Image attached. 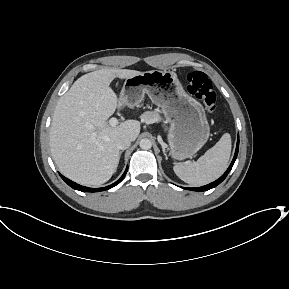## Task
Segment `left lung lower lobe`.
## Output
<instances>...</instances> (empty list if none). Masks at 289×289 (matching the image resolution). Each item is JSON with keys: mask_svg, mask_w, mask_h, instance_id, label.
<instances>
[{"mask_svg": "<svg viewBox=\"0 0 289 289\" xmlns=\"http://www.w3.org/2000/svg\"><path fill=\"white\" fill-rule=\"evenodd\" d=\"M238 150H239V139L237 140V145H236V150H235L233 160H232L230 166L228 167V169L226 170V172L219 179H217L216 181H214L208 185L202 186V187L184 188V189H188V190H192V191H207V190L212 189V188L216 187L217 185H219L226 178V176L228 175V173L232 169L234 162H235L237 155H238Z\"/></svg>", "mask_w": 289, "mask_h": 289, "instance_id": "obj_1", "label": "left lung lower lobe"}]
</instances>
